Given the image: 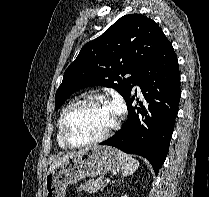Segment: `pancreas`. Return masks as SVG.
<instances>
[{"mask_svg": "<svg viewBox=\"0 0 209 197\" xmlns=\"http://www.w3.org/2000/svg\"><path fill=\"white\" fill-rule=\"evenodd\" d=\"M106 182L103 177L89 179L85 184L80 185L78 191L84 190L88 193H96L106 187Z\"/></svg>", "mask_w": 209, "mask_h": 197, "instance_id": "1", "label": "pancreas"}]
</instances>
